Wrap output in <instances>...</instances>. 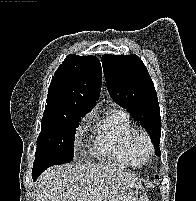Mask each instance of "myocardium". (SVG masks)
<instances>
[{
	"label": "myocardium",
	"instance_id": "myocardium-1",
	"mask_svg": "<svg viewBox=\"0 0 196 201\" xmlns=\"http://www.w3.org/2000/svg\"><path fill=\"white\" fill-rule=\"evenodd\" d=\"M139 136L145 140V142L147 144V148H148V157H147L146 161L141 164H139L135 161L134 155H133V144H134L135 139ZM126 149H127V155H128L129 162L132 166L141 167V166L148 164L154 154V146H153L152 138H151L149 132L142 127H134L129 132V135L127 137Z\"/></svg>",
	"mask_w": 196,
	"mask_h": 201
}]
</instances>
